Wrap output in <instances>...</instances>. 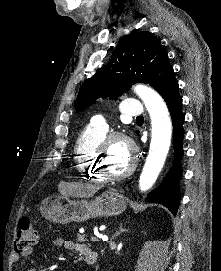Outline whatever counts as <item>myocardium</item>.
Returning <instances> with one entry per match:
<instances>
[{
    "instance_id": "1",
    "label": "myocardium",
    "mask_w": 221,
    "mask_h": 271,
    "mask_svg": "<svg viewBox=\"0 0 221 271\" xmlns=\"http://www.w3.org/2000/svg\"><path fill=\"white\" fill-rule=\"evenodd\" d=\"M122 142H124L125 147H128V150H131V155L137 154V146L135 140H132L131 133H109V137H104V140H102V145H97V150H100V152L94 156V161L99 167H95V172H98L102 178H128L131 172L138 170L139 167L136 165L137 157H130L129 162L131 165L122 173H107L106 170L109 167L105 165L103 156L108 153V145H120Z\"/></svg>"
}]
</instances>
